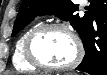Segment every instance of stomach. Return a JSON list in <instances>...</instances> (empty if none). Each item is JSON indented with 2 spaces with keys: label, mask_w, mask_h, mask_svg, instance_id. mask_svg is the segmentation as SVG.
Returning a JSON list of instances; mask_svg holds the SVG:
<instances>
[{
  "label": "stomach",
  "mask_w": 107,
  "mask_h": 75,
  "mask_svg": "<svg viewBox=\"0 0 107 75\" xmlns=\"http://www.w3.org/2000/svg\"><path fill=\"white\" fill-rule=\"evenodd\" d=\"M65 75H77V74H72V73H70V74H65Z\"/></svg>",
  "instance_id": "0dacf381"
}]
</instances>
